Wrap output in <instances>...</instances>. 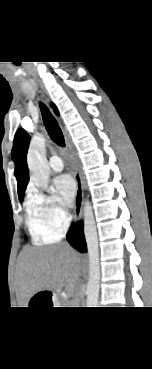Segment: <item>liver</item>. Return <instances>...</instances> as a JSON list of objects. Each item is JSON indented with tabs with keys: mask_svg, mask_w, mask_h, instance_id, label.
<instances>
[{
	"mask_svg": "<svg viewBox=\"0 0 152 369\" xmlns=\"http://www.w3.org/2000/svg\"><path fill=\"white\" fill-rule=\"evenodd\" d=\"M81 267L79 255L67 245L25 248L19 257V290L29 299L37 292L74 284Z\"/></svg>",
	"mask_w": 152,
	"mask_h": 369,
	"instance_id": "liver-1",
	"label": "liver"
}]
</instances>
